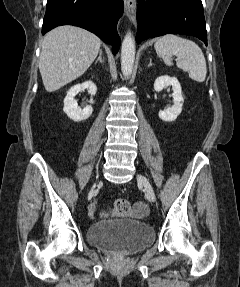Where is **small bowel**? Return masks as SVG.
<instances>
[{"label":"small bowel","mask_w":240,"mask_h":287,"mask_svg":"<svg viewBox=\"0 0 240 287\" xmlns=\"http://www.w3.org/2000/svg\"><path fill=\"white\" fill-rule=\"evenodd\" d=\"M134 212H142L145 214L147 212V205L143 201H137L133 205ZM98 212V209L95 205H91L89 208V215L91 217L95 216Z\"/></svg>","instance_id":"obj_1"}]
</instances>
